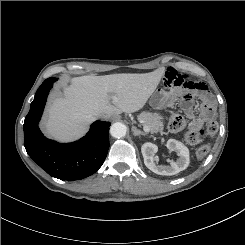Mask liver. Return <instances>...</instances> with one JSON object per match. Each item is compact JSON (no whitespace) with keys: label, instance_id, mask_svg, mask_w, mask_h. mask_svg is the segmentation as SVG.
I'll list each match as a JSON object with an SVG mask.
<instances>
[{"label":"liver","instance_id":"6515ba94","mask_svg":"<svg viewBox=\"0 0 245 245\" xmlns=\"http://www.w3.org/2000/svg\"><path fill=\"white\" fill-rule=\"evenodd\" d=\"M164 71L159 68L144 74L72 78L63 94L54 97L48 107L46 133L60 141H71L81 137L100 114L109 119L140 110L157 88Z\"/></svg>","mask_w":245,"mask_h":245}]
</instances>
